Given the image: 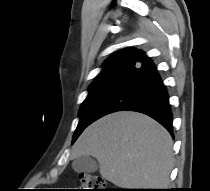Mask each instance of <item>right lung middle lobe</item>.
Returning <instances> with one entry per match:
<instances>
[{"label": "right lung middle lobe", "mask_w": 210, "mask_h": 191, "mask_svg": "<svg viewBox=\"0 0 210 191\" xmlns=\"http://www.w3.org/2000/svg\"><path fill=\"white\" fill-rule=\"evenodd\" d=\"M130 59L131 57L129 56H120L108 60L104 64L102 71L89 87V94L80 107V120L73 135V142L76 141L89 124L94 122L95 113L98 107L107 97Z\"/></svg>", "instance_id": "obj_1"}]
</instances>
